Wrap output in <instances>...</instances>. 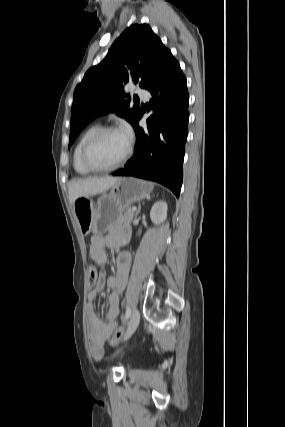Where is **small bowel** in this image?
<instances>
[{
    "label": "small bowel",
    "instance_id": "obj_1",
    "mask_svg": "<svg viewBox=\"0 0 285 427\" xmlns=\"http://www.w3.org/2000/svg\"><path fill=\"white\" fill-rule=\"evenodd\" d=\"M127 235L126 230H120L118 233L102 236L95 234L90 240V256L98 264L104 265L107 261L105 248H115L120 241ZM131 267V256L125 252L118 256L117 259V274L106 278L104 273H100L97 277L96 284L88 292L89 304V348L92 357L95 360H101L104 357V345L110 338L113 331L117 328V318L120 313L119 299L126 285L129 271ZM107 285L111 289V293L107 299V315L106 321H102L94 311L92 301Z\"/></svg>",
    "mask_w": 285,
    "mask_h": 427
}]
</instances>
